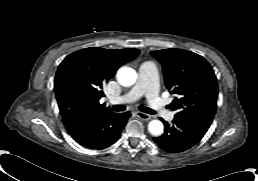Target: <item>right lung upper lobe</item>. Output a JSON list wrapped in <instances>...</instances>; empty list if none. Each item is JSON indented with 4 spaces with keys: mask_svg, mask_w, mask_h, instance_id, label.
Listing matches in <instances>:
<instances>
[{
    "mask_svg": "<svg viewBox=\"0 0 258 181\" xmlns=\"http://www.w3.org/2000/svg\"><path fill=\"white\" fill-rule=\"evenodd\" d=\"M139 53L138 49L90 47L68 55L59 65L54 83L63 119L83 111H111L99 103L104 96L103 85Z\"/></svg>",
    "mask_w": 258,
    "mask_h": 181,
    "instance_id": "right-lung-upper-lobe-1",
    "label": "right lung upper lobe"
}]
</instances>
